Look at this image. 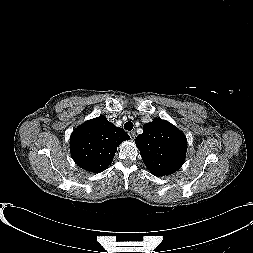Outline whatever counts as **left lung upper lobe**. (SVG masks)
<instances>
[{"instance_id": "5c2ea615", "label": "left lung upper lobe", "mask_w": 253, "mask_h": 253, "mask_svg": "<svg viewBox=\"0 0 253 253\" xmlns=\"http://www.w3.org/2000/svg\"><path fill=\"white\" fill-rule=\"evenodd\" d=\"M135 143L146 167L156 176L173 174L184 163L187 139L168 121L155 118L144 124Z\"/></svg>"}]
</instances>
